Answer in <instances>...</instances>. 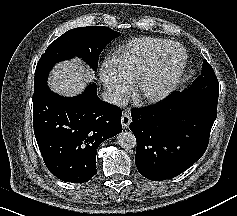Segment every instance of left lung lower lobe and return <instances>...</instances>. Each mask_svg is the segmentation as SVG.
<instances>
[{
	"instance_id": "left-lung-lower-lobe-1",
	"label": "left lung lower lobe",
	"mask_w": 237,
	"mask_h": 216,
	"mask_svg": "<svg viewBox=\"0 0 237 216\" xmlns=\"http://www.w3.org/2000/svg\"><path fill=\"white\" fill-rule=\"evenodd\" d=\"M217 105L174 92L158 105L131 110L135 164L145 178L172 179L204 154Z\"/></svg>"
}]
</instances>
